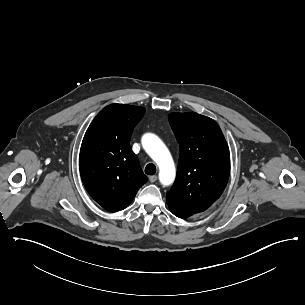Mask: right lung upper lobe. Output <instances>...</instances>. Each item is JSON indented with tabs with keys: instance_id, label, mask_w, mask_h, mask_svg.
Returning a JSON list of instances; mask_svg holds the SVG:
<instances>
[{
	"instance_id": "right-lung-upper-lobe-1",
	"label": "right lung upper lobe",
	"mask_w": 305,
	"mask_h": 305,
	"mask_svg": "<svg viewBox=\"0 0 305 305\" xmlns=\"http://www.w3.org/2000/svg\"><path fill=\"white\" fill-rule=\"evenodd\" d=\"M145 108L111 104L102 109L82 141L79 167L85 188L104 209L126 208L147 177L130 147V137Z\"/></svg>"
}]
</instances>
